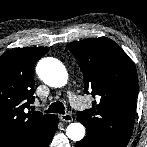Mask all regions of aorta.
Instances as JSON below:
<instances>
[{"label":"aorta","mask_w":147,"mask_h":147,"mask_svg":"<svg viewBox=\"0 0 147 147\" xmlns=\"http://www.w3.org/2000/svg\"><path fill=\"white\" fill-rule=\"evenodd\" d=\"M36 72L39 78L51 87L59 88L67 84V70L54 58L41 59L37 64ZM66 135L72 141H80L85 135V127L81 123H71L66 129Z\"/></svg>","instance_id":"obj_1"}]
</instances>
